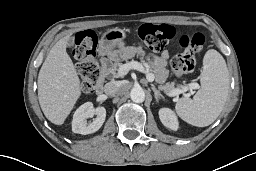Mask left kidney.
<instances>
[{
	"label": "left kidney",
	"mask_w": 256,
	"mask_h": 171,
	"mask_svg": "<svg viewBox=\"0 0 256 171\" xmlns=\"http://www.w3.org/2000/svg\"><path fill=\"white\" fill-rule=\"evenodd\" d=\"M159 118L164 126L171 130L178 129V120L174 112L169 108H161L159 110Z\"/></svg>",
	"instance_id": "1"
}]
</instances>
